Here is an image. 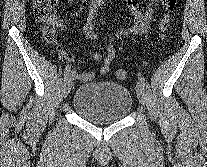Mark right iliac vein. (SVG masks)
<instances>
[{
	"instance_id": "1",
	"label": "right iliac vein",
	"mask_w": 207,
	"mask_h": 167,
	"mask_svg": "<svg viewBox=\"0 0 207 167\" xmlns=\"http://www.w3.org/2000/svg\"><path fill=\"white\" fill-rule=\"evenodd\" d=\"M72 79L71 77H67L64 81V84H63V90H62V94H63V97L66 98L68 96V94L70 93V90L72 88Z\"/></svg>"
}]
</instances>
